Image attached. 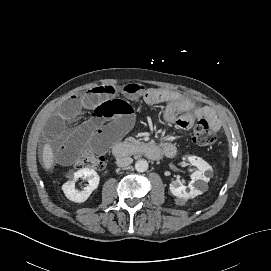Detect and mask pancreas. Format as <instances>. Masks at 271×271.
<instances>
[{
	"mask_svg": "<svg viewBox=\"0 0 271 271\" xmlns=\"http://www.w3.org/2000/svg\"><path fill=\"white\" fill-rule=\"evenodd\" d=\"M127 142H128L129 144H137V143H138V142H137L134 138H132V137L127 138Z\"/></svg>",
	"mask_w": 271,
	"mask_h": 271,
	"instance_id": "cf45deb5",
	"label": "pancreas"
}]
</instances>
